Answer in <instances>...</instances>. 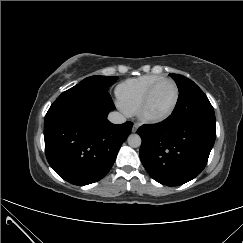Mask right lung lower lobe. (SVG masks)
Here are the masks:
<instances>
[{
	"label": "right lung lower lobe",
	"mask_w": 243,
	"mask_h": 243,
	"mask_svg": "<svg viewBox=\"0 0 243 243\" xmlns=\"http://www.w3.org/2000/svg\"><path fill=\"white\" fill-rule=\"evenodd\" d=\"M113 109L108 92L83 84L66 90L51 105L44 121L45 153L64 180L82 186L109 172L133 126L108 121Z\"/></svg>",
	"instance_id": "1"
}]
</instances>
